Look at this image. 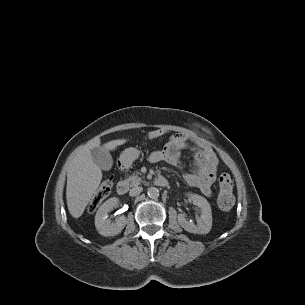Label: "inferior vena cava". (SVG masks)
I'll return each mask as SVG.
<instances>
[{
    "label": "inferior vena cava",
    "instance_id": "602c4592",
    "mask_svg": "<svg viewBox=\"0 0 305 305\" xmlns=\"http://www.w3.org/2000/svg\"><path fill=\"white\" fill-rule=\"evenodd\" d=\"M142 190H143L142 187L139 186L133 187L132 189H130L129 195L130 196L139 195L142 192Z\"/></svg>",
    "mask_w": 305,
    "mask_h": 305
}]
</instances>
